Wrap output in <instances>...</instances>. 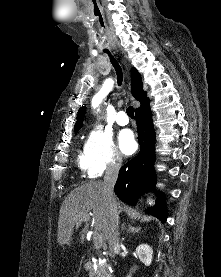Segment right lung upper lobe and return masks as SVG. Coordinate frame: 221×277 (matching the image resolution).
Wrapping results in <instances>:
<instances>
[{"label": "right lung upper lobe", "instance_id": "obj_1", "mask_svg": "<svg viewBox=\"0 0 221 277\" xmlns=\"http://www.w3.org/2000/svg\"><path fill=\"white\" fill-rule=\"evenodd\" d=\"M131 92H132V95L141 104L144 103L146 100H148L146 92L143 91L141 75L137 72L135 68H132V71H131ZM84 115H85V107L82 106L78 111L77 121L74 126L75 132H77L82 127Z\"/></svg>", "mask_w": 221, "mask_h": 277}]
</instances>
